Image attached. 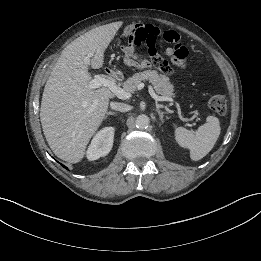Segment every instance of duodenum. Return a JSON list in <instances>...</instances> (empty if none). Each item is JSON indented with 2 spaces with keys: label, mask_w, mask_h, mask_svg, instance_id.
<instances>
[{
  "label": "duodenum",
  "mask_w": 261,
  "mask_h": 261,
  "mask_svg": "<svg viewBox=\"0 0 261 261\" xmlns=\"http://www.w3.org/2000/svg\"><path fill=\"white\" fill-rule=\"evenodd\" d=\"M108 74H109L110 76H113V77H115V76H116V74H115V73H113L112 71H108Z\"/></svg>",
  "instance_id": "410a0bca"
}]
</instances>
